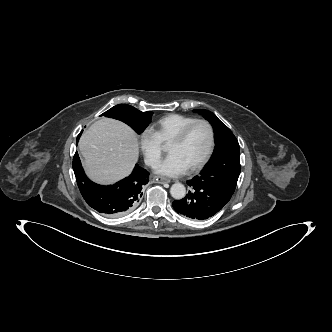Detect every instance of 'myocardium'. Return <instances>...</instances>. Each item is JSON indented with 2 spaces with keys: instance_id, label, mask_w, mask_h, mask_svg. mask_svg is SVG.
<instances>
[{
  "instance_id": "myocardium-1",
  "label": "myocardium",
  "mask_w": 332,
  "mask_h": 332,
  "mask_svg": "<svg viewBox=\"0 0 332 332\" xmlns=\"http://www.w3.org/2000/svg\"><path fill=\"white\" fill-rule=\"evenodd\" d=\"M196 124H204L208 127V129L210 131V142H209V146H208V149L205 152V154L196 163H194L192 166H190L188 168L190 171H197L200 168H202L206 164V162L209 160V158L211 157V155L214 151L215 142H216V134H215V129H214L213 125L211 124V122H209L206 119L193 120L192 122L185 125L169 143V144H180L181 142H183L184 139L186 138L187 134L191 130V128L193 126H195Z\"/></svg>"
}]
</instances>
